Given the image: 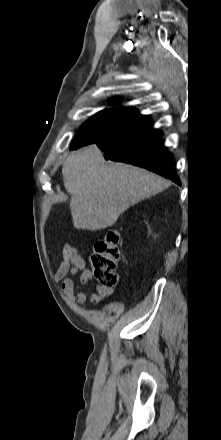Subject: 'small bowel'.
Masks as SVG:
<instances>
[{
    "instance_id": "c3829d8e",
    "label": "small bowel",
    "mask_w": 221,
    "mask_h": 440,
    "mask_svg": "<svg viewBox=\"0 0 221 440\" xmlns=\"http://www.w3.org/2000/svg\"><path fill=\"white\" fill-rule=\"evenodd\" d=\"M62 261L55 273L58 280H62V290L68 300L75 299L77 304L84 307L86 294L80 290V287L87 284L92 278V273L86 268L85 260L78 250L69 244L64 245L62 251ZM78 274L79 290L75 293V283L73 276ZM112 288H104L97 285L90 294V300L93 303L101 304L113 294Z\"/></svg>"
}]
</instances>
